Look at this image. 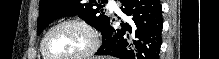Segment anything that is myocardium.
<instances>
[{
    "instance_id": "obj_1",
    "label": "myocardium",
    "mask_w": 219,
    "mask_h": 59,
    "mask_svg": "<svg viewBox=\"0 0 219 59\" xmlns=\"http://www.w3.org/2000/svg\"><path fill=\"white\" fill-rule=\"evenodd\" d=\"M69 24H74L82 27L87 34L90 37V44L86 50H84L81 53H78L74 56H68V57H57L52 55L46 46V42L50 34L57 28L64 26V25H69ZM99 38L96 33V31L93 29V27L86 21L79 19V18H67L64 20H61L57 23H55L52 27H50L47 32L44 34L42 40H41V45L40 49L42 53L48 58V59H86L89 58L90 56L94 55L96 51L99 48Z\"/></svg>"
}]
</instances>
